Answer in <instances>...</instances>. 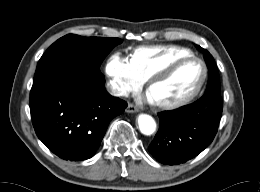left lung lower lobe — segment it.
I'll return each instance as SVG.
<instances>
[{
  "label": "left lung lower lobe",
  "instance_id": "left-lung-lower-lobe-1",
  "mask_svg": "<svg viewBox=\"0 0 260 192\" xmlns=\"http://www.w3.org/2000/svg\"><path fill=\"white\" fill-rule=\"evenodd\" d=\"M222 109L220 95L208 94L187 106L159 113L160 127L149 152L168 165L197 156L213 141Z\"/></svg>",
  "mask_w": 260,
  "mask_h": 192
}]
</instances>
